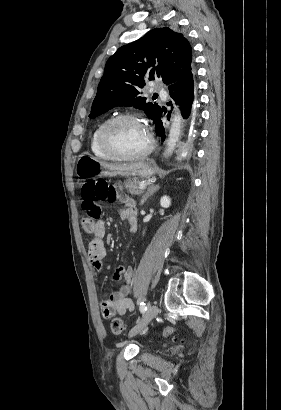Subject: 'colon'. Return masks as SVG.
I'll use <instances>...</instances> for the list:
<instances>
[{
    "label": "colon",
    "instance_id": "5ec220e1",
    "mask_svg": "<svg viewBox=\"0 0 281 410\" xmlns=\"http://www.w3.org/2000/svg\"><path fill=\"white\" fill-rule=\"evenodd\" d=\"M119 192L115 187L110 185L106 180L86 182L81 189L82 209L84 215L81 219V225L87 232H94L96 223L101 217L100 202H114L118 199ZM111 331L120 335L125 330L124 322L121 318H114L111 321ZM175 331V327L168 326L163 329V334L169 336Z\"/></svg>",
    "mask_w": 281,
    "mask_h": 410
}]
</instances>
